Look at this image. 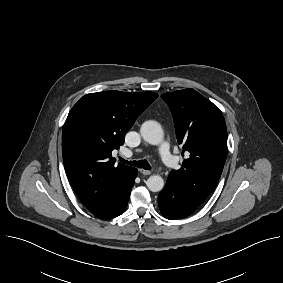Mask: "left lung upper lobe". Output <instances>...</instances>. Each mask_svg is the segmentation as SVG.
<instances>
[{
  "label": "left lung upper lobe",
  "mask_w": 283,
  "mask_h": 283,
  "mask_svg": "<svg viewBox=\"0 0 283 283\" xmlns=\"http://www.w3.org/2000/svg\"><path fill=\"white\" fill-rule=\"evenodd\" d=\"M161 97L173 115L178 143L190 154L169 178L200 205L217 185L227 157L224 117L216 105L191 88Z\"/></svg>",
  "instance_id": "1"
}]
</instances>
